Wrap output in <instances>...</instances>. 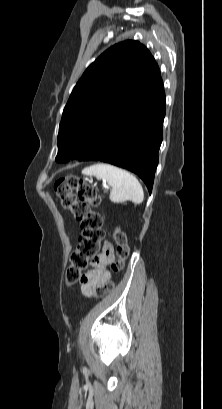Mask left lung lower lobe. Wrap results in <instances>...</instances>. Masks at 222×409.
<instances>
[{
	"instance_id": "obj_1",
	"label": "left lung lower lobe",
	"mask_w": 222,
	"mask_h": 409,
	"mask_svg": "<svg viewBox=\"0 0 222 409\" xmlns=\"http://www.w3.org/2000/svg\"><path fill=\"white\" fill-rule=\"evenodd\" d=\"M165 116L163 85L145 100H129L93 137L79 161H102L137 174L152 191Z\"/></svg>"
}]
</instances>
